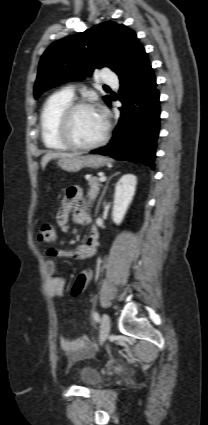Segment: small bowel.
Segmentation results:
<instances>
[{"instance_id":"1","label":"small bowel","mask_w":208,"mask_h":425,"mask_svg":"<svg viewBox=\"0 0 208 425\" xmlns=\"http://www.w3.org/2000/svg\"><path fill=\"white\" fill-rule=\"evenodd\" d=\"M73 212L72 221L76 224H90L92 219L86 209V203L83 200V191L79 186H71L67 188L63 197L60 210L57 214L58 224L65 230L68 228L70 214ZM98 232L92 228L86 242L77 246L76 249H57L50 250V256L59 258H72L76 260H84L92 257L97 248ZM57 265L52 259L46 261L47 273V289L52 297H62L65 290L64 279L56 275ZM89 337L84 335L80 338L70 340L65 337L60 339L62 350L72 360L82 357L89 347Z\"/></svg>"}]
</instances>
